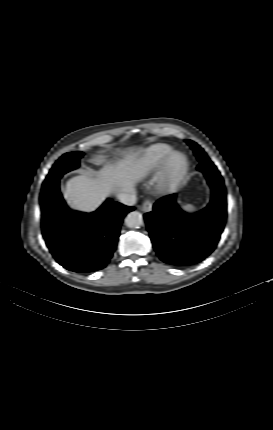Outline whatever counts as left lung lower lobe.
<instances>
[{
	"instance_id": "1",
	"label": "left lung lower lobe",
	"mask_w": 273,
	"mask_h": 430,
	"mask_svg": "<svg viewBox=\"0 0 273 430\" xmlns=\"http://www.w3.org/2000/svg\"><path fill=\"white\" fill-rule=\"evenodd\" d=\"M212 189L209 205L196 214H186L175 202L176 194L158 200L144 215L153 247L165 263L185 267L209 256L217 246L226 222V192L223 179L210 161L200 162Z\"/></svg>"
}]
</instances>
